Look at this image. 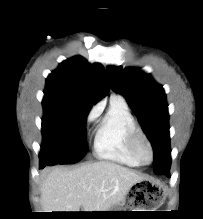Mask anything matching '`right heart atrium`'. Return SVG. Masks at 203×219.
Instances as JSON below:
<instances>
[{"label":"right heart atrium","instance_id":"1","mask_svg":"<svg viewBox=\"0 0 203 219\" xmlns=\"http://www.w3.org/2000/svg\"><path fill=\"white\" fill-rule=\"evenodd\" d=\"M99 113H100L99 107H97V106L93 107L87 116V121L91 122V121L95 120L97 118V116L99 115Z\"/></svg>","mask_w":203,"mask_h":219}]
</instances>
